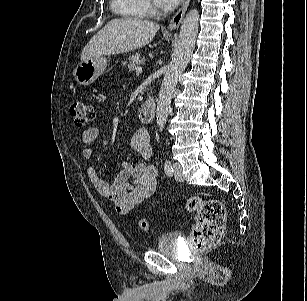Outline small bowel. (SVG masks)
<instances>
[{"label": "small bowel", "mask_w": 307, "mask_h": 301, "mask_svg": "<svg viewBox=\"0 0 307 301\" xmlns=\"http://www.w3.org/2000/svg\"><path fill=\"white\" fill-rule=\"evenodd\" d=\"M100 136L101 132L97 128H89L84 131L82 143L85 158L90 159L93 156L92 145ZM131 147L144 160L151 159L153 151L150 134L146 128L140 127L135 131ZM87 173L97 192L113 203L120 216L127 215L136 205L152 197L157 191V172L150 163L132 165L124 161L122 170L112 183L101 179L93 167H89Z\"/></svg>", "instance_id": "obj_1"}]
</instances>
